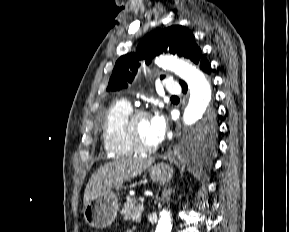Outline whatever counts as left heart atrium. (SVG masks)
Wrapping results in <instances>:
<instances>
[{
	"mask_svg": "<svg viewBox=\"0 0 289 232\" xmlns=\"http://www.w3.org/2000/svg\"><path fill=\"white\" fill-rule=\"evenodd\" d=\"M151 135L156 144L160 143L166 132V121L162 114L156 113L150 117Z\"/></svg>",
	"mask_w": 289,
	"mask_h": 232,
	"instance_id": "39dd6f15",
	"label": "left heart atrium"
}]
</instances>
